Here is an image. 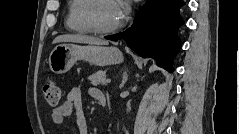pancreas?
I'll return each instance as SVG.
<instances>
[{"instance_id": "1", "label": "pancreas", "mask_w": 239, "mask_h": 134, "mask_svg": "<svg viewBox=\"0 0 239 134\" xmlns=\"http://www.w3.org/2000/svg\"><path fill=\"white\" fill-rule=\"evenodd\" d=\"M88 80H90L91 84L93 86H103L106 84V72L105 71H98L88 77Z\"/></svg>"}]
</instances>
